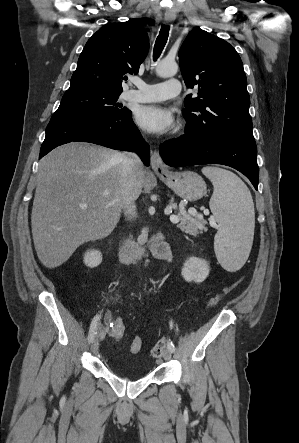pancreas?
<instances>
[{
  "label": "pancreas",
  "instance_id": "cf45deb5",
  "mask_svg": "<svg viewBox=\"0 0 299 443\" xmlns=\"http://www.w3.org/2000/svg\"><path fill=\"white\" fill-rule=\"evenodd\" d=\"M193 211L195 210H190L189 212H186L184 209H180L177 213V216L179 218V224H177V227L187 234L197 236L203 231H207V228L205 227L207 221L204 220L196 212L195 214H191V212Z\"/></svg>",
  "mask_w": 299,
  "mask_h": 443
}]
</instances>
